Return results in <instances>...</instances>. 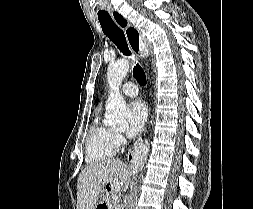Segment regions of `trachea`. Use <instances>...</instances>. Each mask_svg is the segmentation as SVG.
Here are the masks:
<instances>
[{"label": "trachea", "instance_id": "obj_1", "mask_svg": "<svg viewBox=\"0 0 253 209\" xmlns=\"http://www.w3.org/2000/svg\"><path fill=\"white\" fill-rule=\"evenodd\" d=\"M104 34L117 46L124 55H131L123 30H121L109 14L98 17ZM133 75L140 85H146V75L139 64L133 69Z\"/></svg>", "mask_w": 253, "mask_h": 209}]
</instances>
